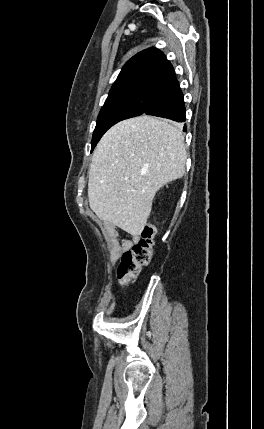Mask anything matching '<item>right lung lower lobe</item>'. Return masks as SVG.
<instances>
[{"mask_svg": "<svg viewBox=\"0 0 264 429\" xmlns=\"http://www.w3.org/2000/svg\"><path fill=\"white\" fill-rule=\"evenodd\" d=\"M185 112L183 93L174 76L161 87L144 114L185 122ZM183 130L186 132V126H184Z\"/></svg>", "mask_w": 264, "mask_h": 429, "instance_id": "right-lung-lower-lobe-1", "label": "right lung lower lobe"}]
</instances>
